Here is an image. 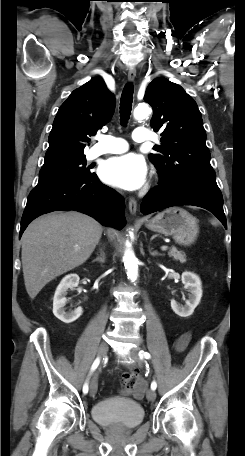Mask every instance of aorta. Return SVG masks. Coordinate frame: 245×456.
I'll list each match as a JSON object with an SVG mask.
<instances>
[{"label":"aorta","instance_id":"obj_1","mask_svg":"<svg viewBox=\"0 0 245 456\" xmlns=\"http://www.w3.org/2000/svg\"><path fill=\"white\" fill-rule=\"evenodd\" d=\"M151 114V108L146 103H140L134 109L135 119L141 120L148 117ZM124 266L127 270V276L132 281H135L138 277V260L131 248V244L126 242V249L123 256Z\"/></svg>","mask_w":245,"mask_h":456}]
</instances>
